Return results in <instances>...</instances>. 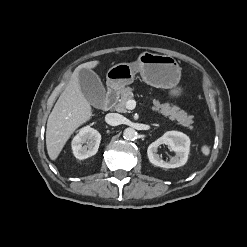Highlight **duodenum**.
I'll return each mask as SVG.
<instances>
[{"mask_svg":"<svg viewBox=\"0 0 247 247\" xmlns=\"http://www.w3.org/2000/svg\"><path fill=\"white\" fill-rule=\"evenodd\" d=\"M119 96V91L115 87H110L106 93L103 109L109 110L116 103Z\"/></svg>","mask_w":247,"mask_h":247,"instance_id":"1","label":"duodenum"}]
</instances>
